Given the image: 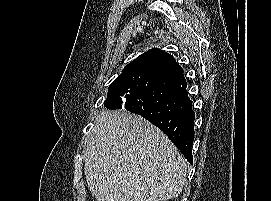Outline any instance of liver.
I'll return each mask as SVG.
<instances>
[{"instance_id": "6515ba94", "label": "liver", "mask_w": 271, "mask_h": 201, "mask_svg": "<svg viewBox=\"0 0 271 201\" xmlns=\"http://www.w3.org/2000/svg\"><path fill=\"white\" fill-rule=\"evenodd\" d=\"M186 172L175 145L141 116L97 115L84 152V174L97 201H167L182 192Z\"/></svg>"}]
</instances>
